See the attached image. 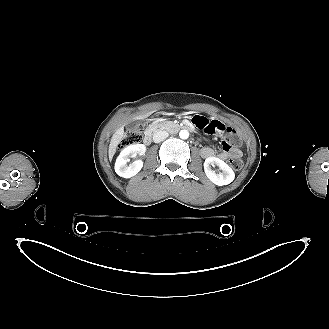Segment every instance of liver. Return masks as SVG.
Instances as JSON below:
<instances>
[{"label": "liver", "instance_id": "6515ba94", "mask_svg": "<svg viewBox=\"0 0 329 329\" xmlns=\"http://www.w3.org/2000/svg\"><path fill=\"white\" fill-rule=\"evenodd\" d=\"M156 111L157 110H153V111L147 112L145 114L138 115L134 119H137V120L146 119L147 117H149L151 114H153ZM123 137H124V126H121L113 134L110 144H109L108 155H109L110 161L112 160L114 154L116 153L117 146L121 142Z\"/></svg>", "mask_w": 329, "mask_h": 329}]
</instances>
